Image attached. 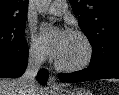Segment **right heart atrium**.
<instances>
[{
  "label": "right heart atrium",
  "instance_id": "obj_1",
  "mask_svg": "<svg viewBox=\"0 0 119 95\" xmlns=\"http://www.w3.org/2000/svg\"><path fill=\"white\" fill-rule=\"evenodd\" d=\"M30 58L34 62H42L45 59V52L37 40L33 37L29 50Z\"/></svg>",
  "mask_w": 119,
  "mask_h": 95
}]
</instances>
